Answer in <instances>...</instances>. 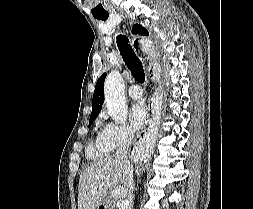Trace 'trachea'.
I'll list each match as a JSON object with an SVG mask.
<instances>
[{
    "mask_svg": "<svg viewBox=\"0 0 253 209\" xmlns=\"http://www.w3.org/2000/svg\"><path fill=\"white\" fill-rule=\"evenodd\" d=\"M96 18L99 20L106 21L108 16H100ZM128 42L129 40L126 36L124 35L117 36L118 48L125 64L131 71L133 77L138 82L143 83L145 81V73L143 65Z\"/></svg>",
    "mask_w": 253,
    "mask_h": 209,
    "instance_id": "1",
    "label": "trachea"
}]
</instances>
